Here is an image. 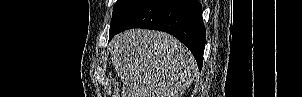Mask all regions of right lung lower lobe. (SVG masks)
I'll list each match as a JSON object with an SVG mask.
<instances>
[{
  "instance_id": "obj_1",
  "label": "right lung lower lobe",
  "mask_w": 302,
  "mask_h": 97,
  "mask_svg": "<svg viewBox=\"0 0 302 97\" xmlns=\"http://www.w3.org/2000/svg\"><path fill=\"white\" fill-rule=\"evenodd\" d=\"M130 28H147L172 34L187 46L202 68L206 32L202 7L196 0H145L113 35Z\"/></svg>"
}]
</instances>
